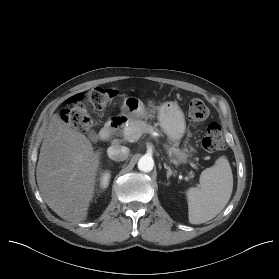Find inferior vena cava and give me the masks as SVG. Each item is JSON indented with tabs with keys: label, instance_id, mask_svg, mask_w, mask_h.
<instances>
[{
	"label": "inferior vena cava",
	"instance_id": "602c4592",
	"mask_svg": "<svg viewBox=\"0 0 279 279\" xmlns=\"http://www.w3.org/2000/svg\"><path fill=\"white\" fill-rule=\"evenodd\" d=\"M107 154L113 161H124L129 156V149L124 146L113 145L108 147Z\"/></svg>",
	"mask_w": 279,
	"mask_h": 279
}]
</instances>
